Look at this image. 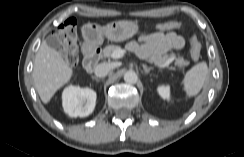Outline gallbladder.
<instances>
[{
  "instance_id": "gallbladder-1",
  "label": "gallbladder",
  "mask_w": 244,
  "mask_h": 157,
  "mask_svg": "<svg viewBox=\"0 0 244 157\" xmlns=\"http://www.w3.org/2000/svg\"><path fill=\"white\" fill-rule=\"evenodd\" d=\"M45 41H46L47 45L53 49H59L62 44L61 40L58 37L53 36V35H49Z\"/></svg>"
}]
</instances>
